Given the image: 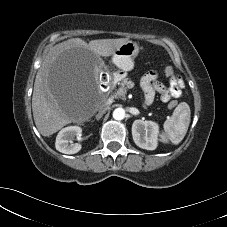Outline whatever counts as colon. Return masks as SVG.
Wrapping results in <instances>:
<instances>
[{
    "label": "colon",
    "mask_w": 227,
    "mask_h": 227,
    "mask_svg": "<svg viewBox=\"0 0 227 227\" xmlns=\"http://www.w3.org/2000/svg\"><path fill=\"white\" fill-rule=\"evenodd\" d=\"M164 73H165L166 76H172L174 72H173L172 67L166 66V67L164 68ZM176 105H177V102H176V101H171V102L169 103V107H170V108H174Z\"/></svg>",
    "instance_id": "colon-1"
}]
</instances>
